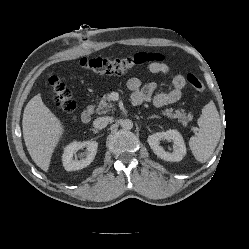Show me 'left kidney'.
I'll return each mask as SVG.
<instances>
[{
  "label": "left kidney",
  "instance_id": "obj_1",
  "mask_svg": "<svg viewBox=\"0 0 249 249\" xmlns=\"http://www.w3.org/2000/svg\"><path fill=\"white\" fill-rule=\"evenodd\" d=\"M172 141L176 145V150L172 153L166 152L160 146V140ZM148 143L153 152L162 160L179 162L186 155V146L182 135L177 130H168L166 132H156L148 136Z\"/></svg>",
  "mask_w": 249,
  "mask_h": 249
}]
</instances>
